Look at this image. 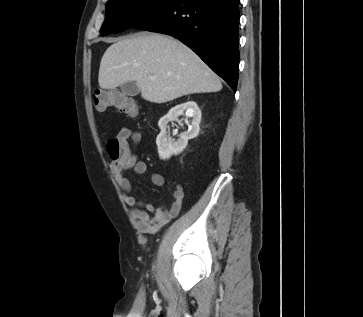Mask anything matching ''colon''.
<instances>
[{
    "instance_id": "obj_1",
    "label": "colon",
    "mask_w": 363,
    "mask_h": 317,
    "mask_svg": "<svg viewBox=\"0 0 363 317\" xmlns=\"http://www.w3.org/2000/svg\"><path fill=\"white\" fill-rule=\"evenodd\" d=\"M92 102L94 108L99 112H104L110 107H114L131 116L137 114V106L135 101L118 91H102L95 90L92 94ZM122 144L118 137L112 138L107 143V151L114 161H119L122 155Z\"/></svg>"
}]
</instances>
